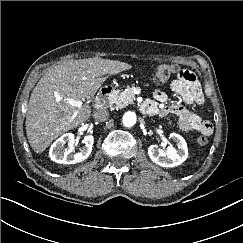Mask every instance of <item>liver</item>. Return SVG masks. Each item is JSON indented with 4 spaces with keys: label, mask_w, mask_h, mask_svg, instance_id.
I'll use <instances>...</instances> for the list:
<instances>
[{
    "label": "liver",
    "mask_w": 243,
    "mask_h": 243,
    "mask_svg": "<svg viewBox=\"0 0 243 243\" xmlns=\"http://www.w3.org/2000/svg\"><path fill=\"white\" fill-rule=\"evenodd\" d=\"M130 67L118 60L93 57L48 68L31 93L26 113V134L32 149L42 153L62 133L85 122L91 106L78 108L69 101L91 98L108 76Z\"/></svg>",
    "instance_id": "obj_1"
}]
</instances>
